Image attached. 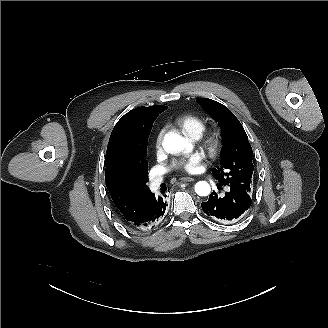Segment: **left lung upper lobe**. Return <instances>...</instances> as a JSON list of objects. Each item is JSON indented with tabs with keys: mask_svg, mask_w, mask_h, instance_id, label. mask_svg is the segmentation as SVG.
I'll return each instance as SVG.
<instances>
[{
	"mask_svg": "<svg viewBox=\"0 0 328 328\" xmlns=\"http://www.w3.org/2000/svg\"><path fill=\"white\" fill-rule=\"evenodd\" d=\"M200 106L218 122L222 131L220 166L213 169L216 180L250 194L252 187V148L246 132L236 116L223 104L208 98L198 100Z\"/></svg>",
	"mask_w": 328,
	"mask_h": 328,
	"instance_id": "1",
	"label": "left lung upper lobe"
}]
</instances>
